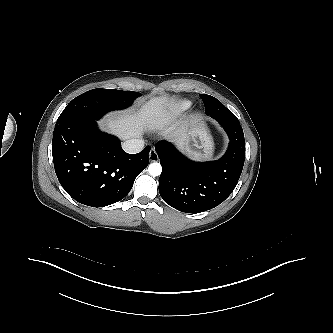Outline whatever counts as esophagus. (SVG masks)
I'll return each mask as SVG.
<instances>
[{
    "instance_id": "34e87169",
    "label": "esophagus",
    "mask_w": 333,
    "mask_h": 333,
    "mask_svg": "<svg viewBox=\"0 0 333 333\" xmlns=\"http://www.w3.org/2000/svg\"><path fill=\"white\" fill-rule=\"evenodd\" d=\"M149 159L151 162H157L159 160V156L155 149H151L149 152Z\"/></svg>"
}]
</instances>
